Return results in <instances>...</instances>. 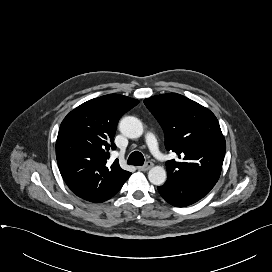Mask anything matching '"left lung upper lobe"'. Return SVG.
I'll list each match as a JSON object with an SVG mask.
<instances>
[{"label":"left lung upper lobe","mask_w":272,"mask_h":272,"mask_svg":"<svg viewBox=\"0 0 272 272\" xmlns=\"http://www.w3.org/2000/svg\"><path fill=\"white\" fill-rule=\"evenodd\" d=\"M144 103L164 131L166 149L180 158V161L166 162V182L189 178L215 185L226 151L215 115L177 93L155 95Z\"/></svg>","instance_id":"left-lung-upper-lobe-1"}]
</instances>
